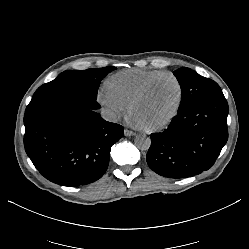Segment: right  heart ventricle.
<instances>
[{"label": "right heart ventricle", "mask_w": 249, "mask_h": 249, "mask_svg": "<svg viewBox=\"0 0 249 249\" xmlns=\"http://www.w3.org/2000/svg\"><path fill=\"white\" fill-rule=\"evenodd\" d=\"M160 69L131 68L110 75L104 82V89L125 104L152 77L163 73Z\"/></svg>", "instance_id": "1"}]
</instances>
